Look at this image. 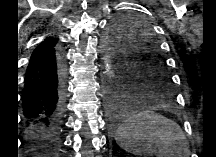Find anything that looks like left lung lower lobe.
I'll list each match as a JSON object with an SVG mask.
<instances>
[{"label": "left lung lower lobe", "mask_w": 216, "mask_h": 157, "mask_svg": "<svg viewBox=\"0 0 216 157\" xmlns=\"http://www.w3.org/2000/svg\"><path fill=\"white\" fill-rule=\"evenodd\" d=\"M133 96L129 84L124 77H121L116 85H113L112 93L110 94L108 105L109 114L114 122H118L124 118L122 102Z\"/></svg>", "instance_id": "1"}]
</instances>
